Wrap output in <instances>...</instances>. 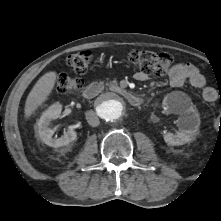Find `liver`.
Masks as SVG:
<instances>
[{
    "mask_svg": "<svg viewBox=\"0 0 221 221\" xmlns=\"http://www.w3.org/2000/svg\"><path fill=\"white\" fill-rule=\"evenodd\" d=\"M56 77L54 71L47 72L33 86L25 103L24 113L26 118H29L47 100L54 88Z\"/></svg>",
    "mask_w": 221,
    "mask_h": 221,
    "instance_id": "6515ba94",
    "label": "liver"
}]
</instances>
